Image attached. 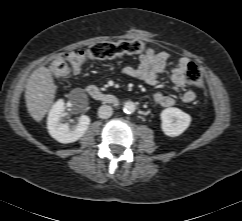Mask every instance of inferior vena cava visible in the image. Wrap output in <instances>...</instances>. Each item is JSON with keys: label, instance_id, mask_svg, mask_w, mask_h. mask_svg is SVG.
<instances>
[{"label": "inferior vena cava", "instance_id": "602c4592", "mask_svg": "<svg viewBox=\"0 0 242 221\" xmlns=\"http://www.w3.org/2000/svg\"><path fill=\"white\" fill-rule=\"evenodd\" d=\"M112 114H113V109L109 105H102L98 109V116L102 119H107V118L111 117Z\"/></svg>", "mask_w": 242, "mask_h": 221}]
</instances>
